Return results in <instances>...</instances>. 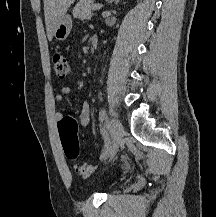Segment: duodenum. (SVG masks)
<instances>
[{"instance_id": "duodenum-1", "label": "duodenum", "mask_w": 216, "mask_h": 217, "mask_svg": "<svg viewBox=\"0 0 216 217\" xmlns=\"http://www.w3.org/2000/svg\"><path fill=\"white\" fill-rule=\"evenodd\" d=\"M90 43H91V46H92L93 48H96V47L98 46V43H99L98 37H97V36H92V37L90 38Z\"/></svg>"}]
</instances>
